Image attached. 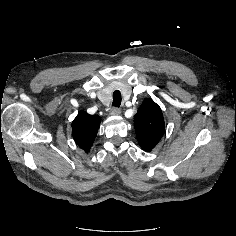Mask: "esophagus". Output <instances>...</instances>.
<instances>
[{
	"label": "esophagus",
	"mask_w": 236,
	"mask_h": 236,
	"mask_svg": "<svg viewBox=\"0 0 236 236\" xmlns=\"http://www.w3.org/2000/svg\"><path fill=\"white\" fill-rule=\"evenodd\" d=\"M120 113H121V110L117 107H113L110 110V114L114 116L120 115Z\"/></svg>",
	"instance_id": "1"
}]
</instances>
